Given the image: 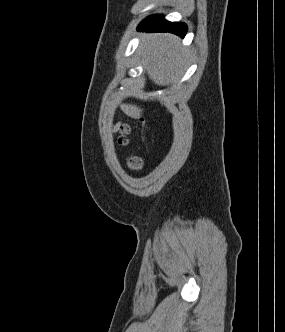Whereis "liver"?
Returning <instances> with one entry per match:
<instances>
[{
  "label": "liver",
  "mask_w": 285,
  "mask_h": 332,
  "mask_svg": "<svg viewBox=\"0 0 285 332\" xmlns=\"http://www.w3.org/2000/svg\"><path fill=\"white\" fill-rule=\"evenodd\" d=\"M143 55L149 78L157 85L166 86L178 79L184 68L186 50L172 34H150L143 40ZM128 116L139 119L142 109L133 104H121Z\"/></svg>",
  "instance_id": "obj_1"
}]
</instances>
